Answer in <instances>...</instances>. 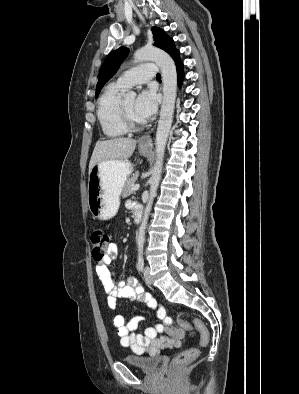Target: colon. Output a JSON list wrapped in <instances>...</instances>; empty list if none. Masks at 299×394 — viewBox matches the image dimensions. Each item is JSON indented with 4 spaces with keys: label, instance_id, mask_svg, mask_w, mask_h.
<instances>
[{
    "label": "colon",
    "instance_id": "obj_1",
    "mask_svg": "<svg viewBox=\"0 0 299 394\" xmlns=\"http://www.w3.org/2000/svg\"><path fill=\"white\" fill-rule=\"evenodd\" d=\"M90 243L92 246L93 257L101 260L107 255L109 251L111 245L110 235L103 230H94L90 234ZM179 325L186 330H197L200 334L199 345L201 347H206L209 344V331L198 317L194 318V326L183 320L179 321ZM198 355L199 350L197 348H189L177 354L173 358L171 365L173 368L182 367L195 360Z\"/></svg>",
    "mask_w": 299,
    "mask_h": 394
}]
</instances>
